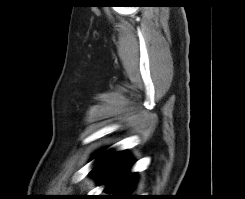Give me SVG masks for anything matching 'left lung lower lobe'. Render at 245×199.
Returning <instances> with one entry per match:
<instances>
[{
  "instance_id": "1",
  "label": "left lung lower lobe",
  "mask_w": 245,
  "mask_h": 199,
  "mask_svg": "<svg viewBox=\"0 0 245 199\" xmlns=\"http://www.w3.org/2000/svg\"><path fill=\"white\" fill-rule=\"evenodd\" d=\"M132 164L129 156L124 151H120L101 159L91 174L95 175L100 185L107 183L106 191L121 194L131 189L134 183V173H128Z\"/></svg>"
}]
</instances>
